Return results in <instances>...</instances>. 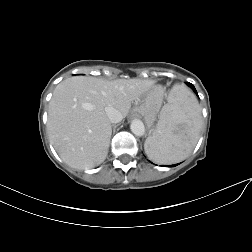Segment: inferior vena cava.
<instances>
[{
	"label": "inferior vena cava",
	"instance_id": "1",
	"mask_svg": "<svg viewBox=\"0 0 252 252\" xmlns=\"http://www.w3.org/2000/svg\"><path fill=\"white\" fill-rule=\"evenodd\" d=\"M105 112L112 123H118L123 119L122 114L114 107H105Z\"/></svg>",
	"mask_w": 252,
	"mask_h": 252
}]
</instances>
